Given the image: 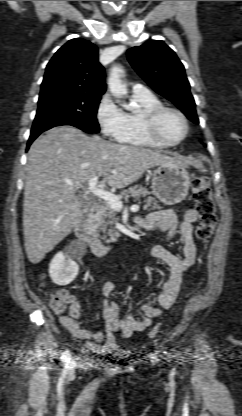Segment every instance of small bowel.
<instances>
[{"mask_svg": "<svg viewBox=\"0 0 242 416\" xmlns=\"http://www.w3.org/2000/svg\"><path fill=\"white\" fill-rule=\"evenodd\" d=\"M196 220L195 210L186 211L181 218L172 210H159L140 219L139 224L143 229L154 233H165V244H170L179 237L182 241V257L172 253L166 245H157L152 249V256L169 268V278L156 299L141 306L139 318L119 317V306L111 299L116 287L112 280L105 281L102 287L104 327L98 331L84 329L78 325L77 319L81 316V307L78 301L69 296L71 300L69 315L60 317L59 321L72 338L83 342L84 348L92 353L110 354L117 348L116 333L128 338L135 332H142L151 326L153 320L161 315L162 310L171 308L178 296L183 275L196 260L193 239V224Z\"/></svg>", "mask_w": 242, "mask_h": 416, "instance_id": "small-bowel-1", "label": "small bowel"}]
</instances>
